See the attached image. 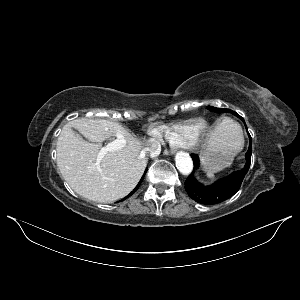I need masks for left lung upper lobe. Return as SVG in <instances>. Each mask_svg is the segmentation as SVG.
<instances>
[{"mask_svg":"<svg viewBox=\"0 0 300 300\" xmlns=\"http://www.w3.org/2000/svg\"><path fill=\"white\" fill-rule=\"evenodd\" d=\"M208 108H209V110L214 111V112H230L243 120V118L241 116H239L236 112H234L230 109L215 108V107H211V106H209Z\"/></svg>","mask_w":300,"mask_h":300,"instance_id":"5c2ea615","label":"left lung upper lobe"}]
</instances>
